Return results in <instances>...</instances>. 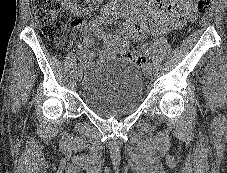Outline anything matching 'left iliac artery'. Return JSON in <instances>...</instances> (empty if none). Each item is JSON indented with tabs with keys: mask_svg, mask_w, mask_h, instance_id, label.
<instances>
[{
	"mask_svg": "<svg viewBox=\"0 0 227 173\" xmlns=\"http://www.w3.org/2000/svg\"><path fill=\"white\" fill-rule=\"evenodd\" d=\"M145 65L152 69V64L150 62H147Z\"/></svg>",
	"mask_w": 227,
	"mask_h": 173,
	"instance_id": "obj_1",
	"label": "left iliac artery"
}]
</instances>
